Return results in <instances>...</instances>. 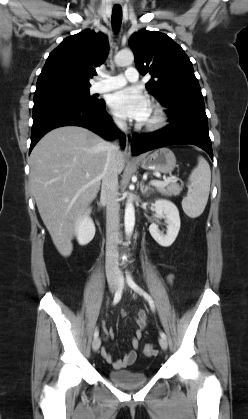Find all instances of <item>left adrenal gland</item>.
I'll return each instance as SVG.
<instances>
[{
    "instance_id": "1",
    "label": "left adrenal gland",
    "mask_w": 248,
    "mask_h": 419,
    "mask_svg": "<svg viewBox=\"0 0 248 419\" xmlns=\"http://www.w3.org/2000/svg\"><path fill=\"white\" fill-rule=\"evenodd\" d=\"M151 190H153V189L150 186H145L144 185V182L141 181V183H140V191H141L142 194H145L146 192L151 191Z\"/></svg>"
}]
</instances>
